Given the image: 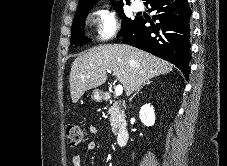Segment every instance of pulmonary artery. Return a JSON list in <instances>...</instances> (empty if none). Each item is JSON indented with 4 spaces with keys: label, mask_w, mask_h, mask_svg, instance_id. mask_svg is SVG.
Listing matches in <instances>:
<instances>
[{
    "label": "pulmonary artery",
    "mask_w": 227,
    "mask_h": 166,
    "mask_svg": "<svg viewBox=\"0 0 227 166\" xmlns=\"http://www.w3.org/2000/svg\"><path fill=\"white\" fill-rule=\"evenodd\" d=\"M131 7H132L133 11H135V12L141 11L143 9V5L139 1H134L131 4Z\"/></svg>",
    "instance_id": "pulmonary-artery-1"
}]
</instances>
